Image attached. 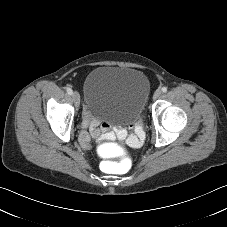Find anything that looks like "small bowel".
Returning <instances> with one entry per match:
<instances>
[{"label":"small bowel","instance_id":"small-bowel-1","mask_svg":"<svg viewBox=\"0 0 227 227\" xmlns=\"http://www.w3.org/2000/svg\"><path fill=\"white\" fill-rule=\"evenodd\" d=\"M99 125L100 123L97 119L94 118L92 111L89 108H86L83 114L82 130L78 138L79 143L84 148L90 149L92 145V139L99 138ZM105 129L108 130V128ZM141 135L142 132L140 129H138L137 134L132 135L129 134L127 129L125 128L118 129L116 133L108 134L111 139L117 137L121 143L133 148L138 147L142 143L143 139Z\"/></svg>","mask_w":227,"mask_h":227}]
</instances>
